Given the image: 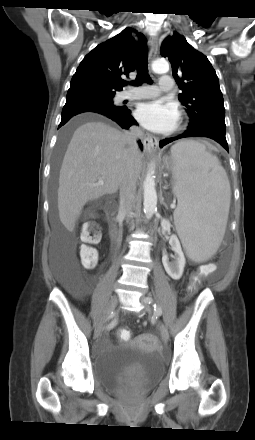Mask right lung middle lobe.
Segmentation results:
<instances>
[{
  "label": "right lung middle lobe",
  "instance_id": "dd1d6c3e",
  "mask_svg": "<svg viewBox=\"0 0 255 440\" xmlns=\"http://www.w3.org/2000/svg\"><path fill=\"white\" fill-rule=\"evenodd\" d=\"M114 96H115V93H112V94H94L91 97L92 98H98V99H103V100H107V101L113 102L112 100H113ZM66 135H67V132H64L62 140H61V147L64 145V143L66 141Z\"/></svg>",
  "mask_w": 255,
  "mask_h": 440
}]
</instances>
